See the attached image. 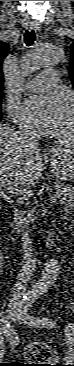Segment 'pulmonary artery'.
Listing matches in <instances>:
<instances>
[{
	"instance_id": "e3ab8cb5",
	"label": "pulmonary artery",
	"mask_w": 74,
	"mask_h": 366,
	"mask_svg": "<svg viewBox=\"0 0 74 366\" xmlns=\"http://www.w3.org/2000/svg\"><path fill=\"white\" fill-rule=\"evenodd\" d=\"M59 82V71L50 69L43 71L28 83V88L34 92H43L54 88Z\"/></svg>"
}]
</instances>
